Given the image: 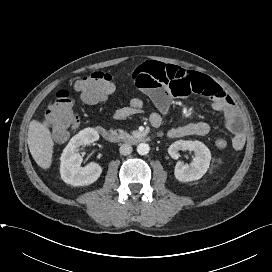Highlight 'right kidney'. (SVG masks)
I'll list each match as a JSON object with an SVG mask.
<instances>
[{"label": "right kidney", "instance_id": "1", "mask_svg": "<svg viewBox=\"0 0 272 272\" xmlns=\"http://www.w3.org/2000/svg\"><path fill=\"white\" fill-rule=\"evenodd\" d=\"M99 139L93 128H85L73 136L60 157V174L62 180L73 186H85L94 183L101 175L99 164L90 163L81 167L82 157L77 153L82 145H89Z\"/></svg>", "mask_w": 272, "mask_h": 272}]
</instances>
